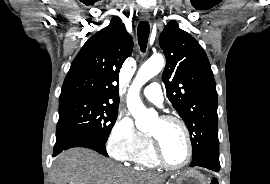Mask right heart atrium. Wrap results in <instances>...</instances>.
<instances>
[{
    "instance_id": "obj_1",
    "label": "right heart atrium",
    "mask_w": 270,
    "mask_h": 184,
    "mask_svg": "<svg viewBox=\"0 0 270 184\" xmlns=\"http://www.w3.org/2000/svg\"><path fill=\"white\" fill-rule=\"evenodd\" d=\"M146 139L147 135L135 127L129 116L120 114L111 127L106 149L115 160L128 162L144 145Z\"/></svg>"
}]
</instances>
